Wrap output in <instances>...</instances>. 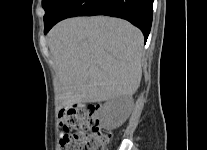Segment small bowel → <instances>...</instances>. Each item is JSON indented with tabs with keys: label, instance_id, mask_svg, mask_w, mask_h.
Here are the masks:
<instances>
[{
	"label": "small bowel",
	"instance_id": "small-bowel-1",
	"mask_svg": "<svg viewBox=\"0 0 207 150\" xmlns=\"http://www.w3.org/2000/svg\"><path fill=\"white\" fill-rule=\"evenodd\" d=\"M65 136H66L65 133H63V132L60 133V137H61V138H64Z\"/></svg>",
	"mask_w": 207,
	"mask_h": 150
}]
</instances>
